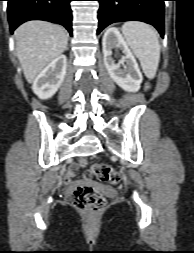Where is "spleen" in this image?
I'll return each mask as SVG.
<instances>
[{
	"mask_svg": "<svg viewBox=\"0 0 194 253\" xmlns=\"http://www.w3.org/2000/svg\"><path fill=\"white\" fill-rule=\"evenodd\" d=\"M121 30L128 46L139 59L145 76L153 79L160 61V44L156 30L139 21L124 23Z\"/></svg>",
	"mask_w": 194,
	"mask_h": 253,
	"instance_id": "obj_1",
	"label": "spleen"
}]
</instances>
